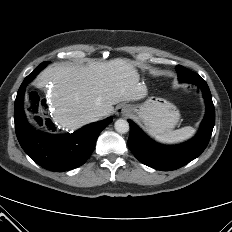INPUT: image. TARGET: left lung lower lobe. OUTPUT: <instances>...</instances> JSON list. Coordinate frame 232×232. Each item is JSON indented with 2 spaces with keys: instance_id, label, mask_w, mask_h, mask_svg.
I'll return each instance as SVG.
<instances>
[{
  "instance_id": "left-lung-lower-lobe-1",
  "label": "left lung lower lobe",
  "mask_w": 232,
  "mask_h": 232,
  "mask_svg": "<svg viewBox=\"0 0 232 232\" xmlns=\"http://www.w3.org/2000/svg\"><path fill=\"white\" fill-rule=\"evenodd\" d=\"M185 74L183 82L200 87L206 104L205 117L197 135L179 145H161L148 138L132 121L128 145L134 156L143 164L162 171L178 169L197 158L206 148L215 124V109L207 83L196 73L178 66Z\"/></svg>"
}]
</instances>
